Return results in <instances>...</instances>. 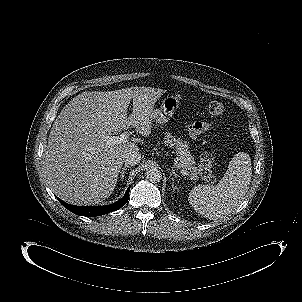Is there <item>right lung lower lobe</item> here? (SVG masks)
Segmentation results:
<instances>
[{
  "label": "right lung lower lobe",
  "instance_id": "98d812e1",
  "mask_svg": "<svg viewBox=\"0 0 302 302\" xmlns=\"http://www.w3.org/2000/svg\"><path fill=\"white\" fill-rule=\"evenodd\" d=\"M129 190L130 187L127 189L126 194L122 199L119 201L110 204V205H105V206H75V205H70L62 201L61 199L57 198L59 202L69 211L72 213H75L77 215L81 216H99V215H104L112 211H116L117 209L121 208L124 206V204L128 201L129 199Z\"/></svg>",
  "mask_w": 302,
  "mask_h": 302
}]
</instances>
